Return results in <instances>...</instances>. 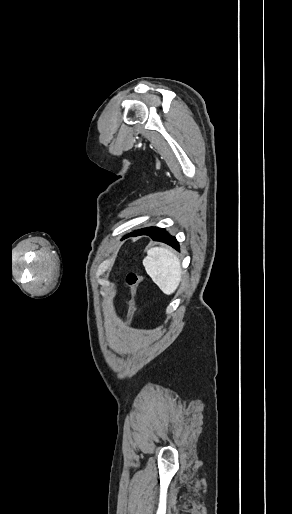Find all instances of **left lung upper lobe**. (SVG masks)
<instances>
[{
	"label": "left lung upper lobe",
	"instance_id": "1",
	"mask_svg": "<svg viewBox=\"0 0 292 514\" xmlns=\"http://www.w3.org/2000/svg\"><path fill=\"white\" fill-rule=\"evenodd\" d=\"M148 228H149V227H147V228H143V229H139V230H136V231H134V233L142 232V231H144V230H146V229H148ZM134 233H133V234H134ZM131 234H132V233H131ZM128 235H130V234H128ZM128 235H126V236H128Z\"/></svg>",
	"mask_w": 292,
	"mask_h": 514
}]
</instances>
